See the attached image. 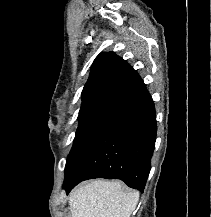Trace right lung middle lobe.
I'll return each instance as SVG.
<instances>
[{
    "label": "right lung middle lobe",
    "instance_id": "obj_1",
    "mask_svg": "<svg viewBox=\"0 0 211 217\" xmlns=\"http://www.w3.org/2000/svg\"><path fill=\"white\" fill-rule=\"evenodd\" d=\"M115 118L112 116H93L79 119L74 144L66 162L65 177L69 175L82 155Z\"/></svg>",
    "mask_w": 211,
    "mask_h": 217
}]
</instances>
